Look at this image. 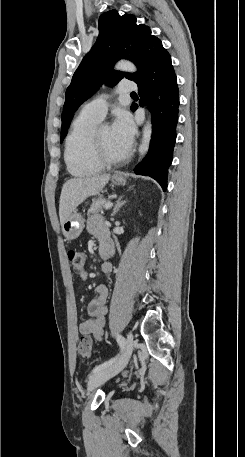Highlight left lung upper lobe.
Returning a JSON list of instances; mask_svg holds the SVG:
<instances>
[{
    "instance_id": "left-lung-upper-lobe-1",
    "label": "left lung upper lobe",
    "mask_w": 245,
    "mask_h": 457,
    "mask_svg": "<svg viewBox=\"0 0 245 457\" xmlns=\"http://www.w3.org/2000/svg\"><path fill=\"white\" fill-rule=\"evenodd\" d=\"M134 15H119L112 10L102 14L98 21L99 36L91 51L83 58L66 90L62 112L61 141L67 134L74 112L103 83L116 85L126 77L135 81L148 56L162 46L160 39L151 35L149 26L136 24ZM121 58L133 61L137 73L113 71Z\"/></svg>"
}]
</instances>
